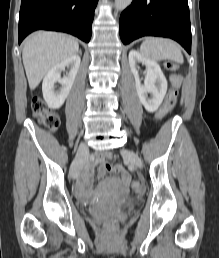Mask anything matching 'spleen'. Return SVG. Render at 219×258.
Returning <instances> with one entry per match:
<instances>
[{"label":"spleen","mask_w":219,"mask_h":258,"mask_svg":"<svg viewBox=\"0 0 219 258\" xmlns=\"http://www.w3.org/2000/svg\"><path fill=\"white\" fill-rule=\"evenodd\" d=\"M141 54L147 59L160 61L169 59L177 63H183V55L180 47L172 40L148 37L140 46Z\"/></svg>","instance_id":"1"}]
</instances>
